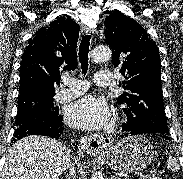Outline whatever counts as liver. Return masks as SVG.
I'll list each match as a JSON object with an SVG mask.
<instances>
[{
  "label": "liver",
  "mask_w": 183,
  "mask_h": 179,
  "mask_svg": "<svg viewBox=\"0 0 183 179\" xmlns=\"http://www.w3.org/2000/svg\"><path fill=\"white\" fill-rule=\"evenodd\" d=\"M70 160V150L61 142L27 136L10 148L1 179H58Z\"/></svg>",
  "instance_id": "6515ba94"
}]
</instances>
